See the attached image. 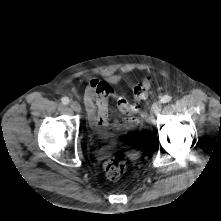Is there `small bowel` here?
<instances>
[{
	"mask_svg": "<svg viewBox=\"0 0 221 221\" xmlns=\"http://www.w3.org/2000/svg\"><path fill=\"white\" fill-rule=\"evenodd\" d=\"M114 96L112 88L102 81H90L84 92V104L91 127L103 138H111L116 132H123L135 127L137 118L133 110L118 102L122 118L111 121L110 99Z\"/></svg>",
	"mask_w": 221,
	"mask_h": 221,
	"instance_id": "small-bowel-1",
	"label": "small bowel"
}]
</instances>
